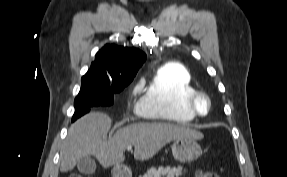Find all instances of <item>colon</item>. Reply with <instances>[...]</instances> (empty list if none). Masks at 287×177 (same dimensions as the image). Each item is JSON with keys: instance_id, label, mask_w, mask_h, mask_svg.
Segmentation results:
<instances>
[{"instance_id": "obj_1", "label": "colon", "mask_w": 287, "mask_h": 177, "mask_svg": "<svg viewBox=\"0 0 287 177\" xmlns=\"http://www.w3.org/2000/svg\"><path fill=\"white\" fill-rule=\"evenodd\" d=\"M69 177H82L79 174H72ZM196 177H220L217 171L211 169L201 170L197 173Z\"/></svg>"}]
</instances>
